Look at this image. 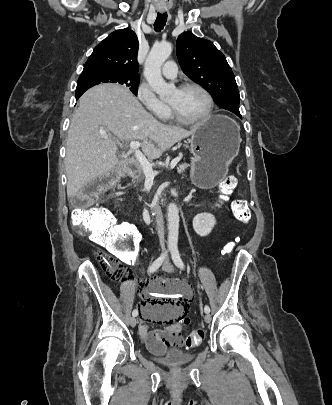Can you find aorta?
I'll use <instances>...</instances> for the list:
<instances>
[{
  "label": "aorta",
  "mask_w": 332,
  "mask_h": 405,
  "mask_svg": "<svg viewBox=\"0 0 332 405\" xmlns=\"http://www.w3.org/2000/svg\"><path fill=\"white\" fill-rule=\"evenodd\" d=\"M172 53L169 42L154 44L144 65V77L150 87L161 97H165L172 89V85L165 82L161 74L163 63ZM168 216V244L176 246L179 232V212L176 204L170 203L167 209Z\"/></svg>",
  "instance_id": "762f6f07"
}]
</instances>
